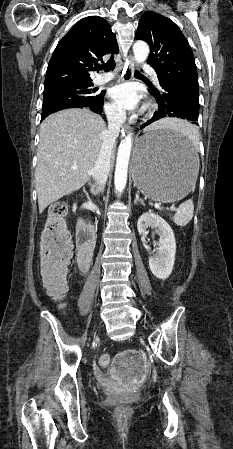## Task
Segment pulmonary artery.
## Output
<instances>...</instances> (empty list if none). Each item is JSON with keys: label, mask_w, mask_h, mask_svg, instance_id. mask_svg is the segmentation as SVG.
<instances>
[{"label": "pulmonary artery", "mask_w": 233, "mask_h": 449, "mask_svg": "<svg viewBox=\"0 0 233 449\" xmlns=\"http://www.w3.org/2000/svg\"><path fill=\"white\" fill-rule=\"evenodd\" d=\"M144 68L151 75L155 84L159 85L158 78H157L155 71L151 67H148V66H145ZM113 78H114V75L112 73L100 74L94 78L93 84L97 85V86L102 85V84H105V83L111 81Z\"/></svg>", "instance_id": "e3ab8cb5"}]
</instances>
